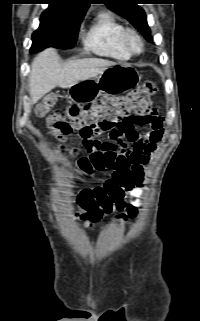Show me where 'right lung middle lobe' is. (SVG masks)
Returning <instances> with one entry per match:
<instances>
[{"label": "right lung middle lobe", "mask_w": 200, "mask_h": 321, "mask_svg": "<svg viewBox=\"0 0 200 321\" xmlns=\"http://www.w3.org/2000/svg\"><path fill=\"white\" fill-rule=\"evenodd\" d=\"M85 13L57 16L46 10L40 18V26L32 35L31 52H38L46 47L60 49L72 48L77 39L80 23Z\"/></svg>", "instance_id": "dd1d6c3e"}]
</instances>
